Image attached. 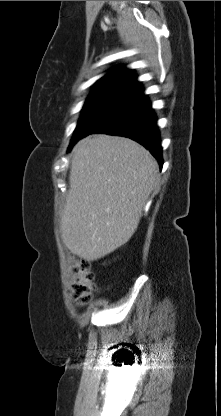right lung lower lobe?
<instances>
[{"label":"right lung lower lobe","instance_id":"98d812e1","mask_svg":"<svg viewBox=\"0 0 221 416\" xmlns=\"http://www.w3.org/2000/svg\"><path fill=\"white\" fill-rule=\"evenodd\" d=\"M156 121L157 119L151 108V103L146 95L141 92L124 99L89 134L105 133L131 138L147 148L158 160L160 167H162V147ZM81 138L73 140L69 150Z\"/></svg>","mask_w":221,"mask_h":416}]
</instances>
